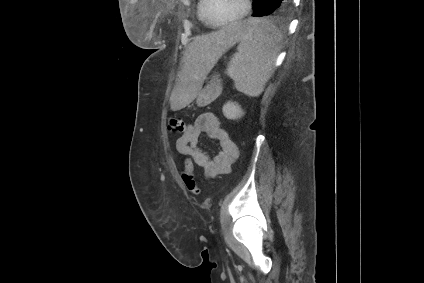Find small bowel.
Instances as JSON below:
<instances>
[{
    "label": "small bowel",
    "instance_id": "small-bowel-1",
    "mask_svg": "<svg viewBox=\"0 0 424 283\" xmlns=\"http://www.w3.org/2000/svg\"><path fill=\"white\" fill-rule=\"evenodd\" d=\"M203 134L220 144V151L213 157L199 145ZM176 150L179 154L189 157L185 162L190 161L193 166L202 167L206 178L229 173L232 164L239 158L238 146L221 127L218 117L213 112L200 114L193 123L185 127L182 135L176 140Z\"/></svg>",
    "mask_w": 424,
    "mask_h": 283
}]
</instances>
